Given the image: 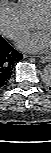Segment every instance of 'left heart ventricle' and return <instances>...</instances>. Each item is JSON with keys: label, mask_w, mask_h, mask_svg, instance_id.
Returning <instances> with one entry per match:
<instances>
[{"label": "left heart ventricle", "mask_w": 51, "mask_h": 153, "mask_svg": "<svg viewBox=\"0 0 51 153\" xmlns=\"http://www.w3.org/2000/svg\"><path fill=\"white\" fill-rule=\"evenodd\" d=\"M38 28L47 31L51 35V19L46 18V19L42 20L39 23Z\"/></svg>", "instance_id": "obj_1"}]
</instances>
